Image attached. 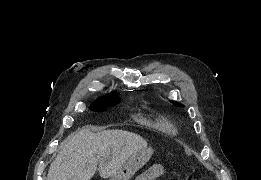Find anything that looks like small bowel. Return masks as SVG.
<instances>
[{
	"label": "small bowel",
	"mask_w": 261,
	"mask_h": 180,
	"mask_svg": "<svg viewBox=\"0 0 261 180\" xmlns=\"http://www.w3.org/2000/svg\"><path fill=\"white\" fill-rule=\"evenodd\" d=\"M165 173V169L161 164H154L147 170L139 174L138 180H156L162 177Z\"/></svg>",
	"instance_id": "1"
}]
</instances>
